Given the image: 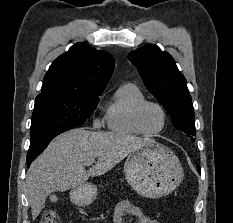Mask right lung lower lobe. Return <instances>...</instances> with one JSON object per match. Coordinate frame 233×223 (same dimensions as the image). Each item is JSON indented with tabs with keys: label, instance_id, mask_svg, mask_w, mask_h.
I'll return each instance as SVG.
<instances>
[{
	"label": "right lung lower lobe",
	"instance_id": "98d812e1",
	"mask_svg": "<svg viewBox=\"0 0 233 223\" xmlns=\"http://www.w3.org/2000/svg\"><path fill=\"white\" fill-rule=\"evenodd\" d=\"M39 154H32V155H27V165L28 167L30 166L31 162L38 156Z\"/></svg>",
	"mask_w": 233,
	"mask_h": 223
}]
</instances>
